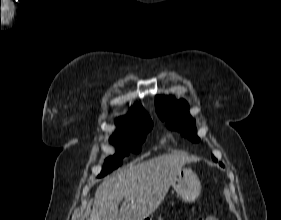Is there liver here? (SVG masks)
<instances>
[{
	"instance_id": "obj_1",
	"label": "liver",
	"mask_w": 281,
	"mask_h": 220,
	"mask_svg": "<svg viewBox=\"0 0 281 220\" xmlns=\"http://www.w3.org/2000/svg\"><path fill=\"white\" fill-rule=\"evenodd\" d=\"M191 160L185 153L173 152L119 171L98 186L88 220L146 219L164 200L175 175Z\"/></svg>"
}]
</instances>
